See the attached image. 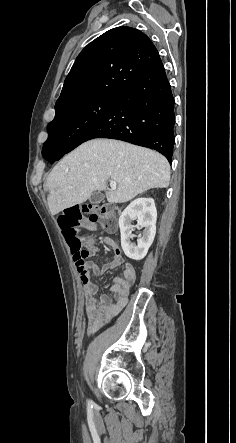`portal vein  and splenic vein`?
<instances>
[{
	"label": "portal vein and splenic vein",
	"mask_w": 236,
	"mask_h": 443,
	"mask_svg": "<svg viewBox=\"0 0 236 443\" xmlns=\"http://www.w3.org/2000/svg\"><path fill=\"white\" fill-rule=\"evenodd\" d=\"M116 185H117V183L115 181H111L110 182V187H111L112 190L116 189Z\"/></svg>",
	"instance_id": "18ae733b"
}]
</instances>
